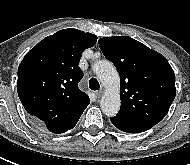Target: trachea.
I'll return each instance as SVG.
<instances>
[{
    "mask_svg": "<svg viewBox=\"0 0 190 165\" xmlns=\"http://www.w3.org/2000/svg\"><path fill=\"white\" fill-rule=\"evenodd\" d=\"M89 88L91 90H98L100 88V84L96 78H91L89 80Z\"/></svg>",
    "mask_w": 190,
    "mask_h": 165,
    "instance_id": "obj_1",
    "label": "trachea"
}]
</instances>
